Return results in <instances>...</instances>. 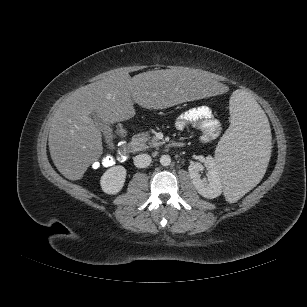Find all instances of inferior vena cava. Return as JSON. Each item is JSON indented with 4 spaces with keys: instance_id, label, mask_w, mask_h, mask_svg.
I'll return each instance as SVG.
<instances>
[{
    "instance_id": "obj_1",
    "label": "inferior vena cava",
    "mask_w": 307,
    "mask_h": 307,
    "mask_svg": "<svg viewBox=\"0 0 307 307\" xmlns=\"http://www.w3.org/2000/svg\"><path fill=\"white\" fill-rule=\"evenodd\" d=\"M151 163V156L148 154H139L134 157V165L137 168H145Z\"/></svg>"
}]
</instances>
